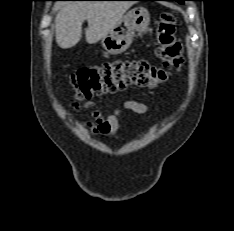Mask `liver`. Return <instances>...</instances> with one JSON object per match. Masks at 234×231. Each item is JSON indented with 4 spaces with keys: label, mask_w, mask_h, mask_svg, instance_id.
<instances>
[{
    "label": "liver",
    "mask_w": 234,
    "mask_h": 231,
    "mask_svg": "<svg viewBox=\"0 0 234 231\" xmlns=\"http://www.w3.org/2000/svg\"><path fill=\"white\" fill-rule=\"evenodd\" d=\"M133 5L132 1H76L58 4L55 18L57 44L68 49L82 36V24L88 22L86 41L96 43L106 36Z\"/></svg>",
    "instance_id": "liver-1"
}]
</instances>
